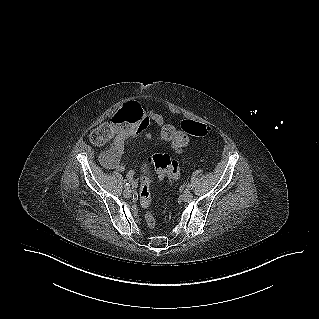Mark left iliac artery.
Here are the masks:
<instances>
[{
  "label": "left iliac artery",
  "instance_id": "obj_1",
  "mask_svg": "<svg viewBox=\"0 0 319 319\" xmlns=\"http://www.w3.org/2000/svg\"><path fill=\"white\" fill-rule=\"evenodd\" d=\"M187 188H188V189H192V185L188 184V185H187Z\"/></svg>",
  "mask_w": 319,
  "mask_h": 319
}]
</instances>
